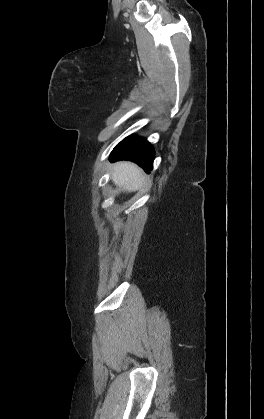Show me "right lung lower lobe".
Returning a JSON list of instances; mask_svg holds the SVG:
<instances>
[{
    "mask_svg": "<svg viewBox=\"0 0 264 419\" xmlns=\"http://www.w3.org/2000/svg\"><path fill=\"white\" fill-rule=\"evenodd\" d=\"M112 162L129 160L137 163L146 172L153 168L154 150L146 139L129 136L121 141L110 155Z\"/></svg>",
    "mask_w": 264,
    "mask_h": 419,
    "instance_id": "98d812e1",
    "label": "right lung lower lobe"
}]
</instances>
